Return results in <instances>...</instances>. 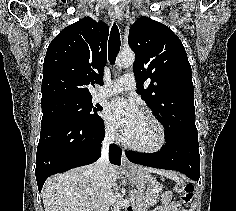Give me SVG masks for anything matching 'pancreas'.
<instances>
[{"mask_svg": "<svg viewBox=\"0 0 236 211\" xmlns=\"http://www.w3.org/2000/svg\"><path fill=\"white\" fill-rule=\"evenodd\" d=\"M131 197L134 199L132 206L135 211H146L147 205L143 202L142 196L138 191L133 192Z\"/></svg>", "mask_w": 236, "mask_h": 211, "instance_id": "obj_1", "label": "pancreas"}]
</instances>
